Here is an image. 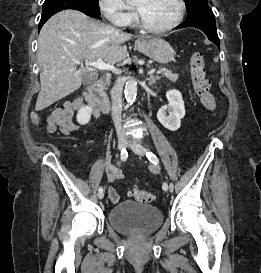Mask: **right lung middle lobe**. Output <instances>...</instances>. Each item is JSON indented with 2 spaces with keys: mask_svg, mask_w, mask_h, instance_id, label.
I'll list each match as a JSON object with an SVG mask.
<instances>
[{
  "mask_svg": "<svg viewBox=\"0 0 261 273\" xmlns=\"http://www.w3.org/2000/svg\"><path fill=\"white\" fill-rule=\"evenodd\" d=\"M92 10L99 12L98 0H83ZM71 0H45L42 15H53L58 11L69 9Z\"/></svg>",
  "mask_w": 261,
  "mask_h": 273,
  "instance_id": "1",
  "label": "right lung middle lobe"
}]
</instances>
